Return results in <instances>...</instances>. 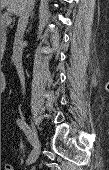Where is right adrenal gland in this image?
<instances>
[{"label":"right adrenal gland","mask_w":109,"mask_h":170,"mask_svg":"<svg viewBox=\"0 0 109 170\" xmlns=\"http://www.w3.org/2000/svg\"><path fill=\"white\" fill-rule=\"evenodd\" d=\"M33 8H34V5L31 8V14H30L31 18L33 17Z\"/></svg>","instance_id":"right-adrenal-gland-1"}]
</instances>
